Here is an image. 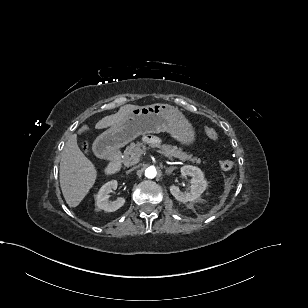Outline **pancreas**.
Wrapping results in <instances>:
<instances>
[{"label":"pancreas","instance_id":"1","mask_svg":"<svg viewBox=\"0 0 308 308\" xmlns=\"http://www.w3.org/2000/svg\"><path fill=\"white\" fill-rule=\"evenodd\" d=\"M151 147H158V152L163 154L168 158H179L180 160H189L192 163H200V159L193 157L192 154H188L183 152L181 149H178L176 146L162 144V145H151ZM146 146L141 143H131L129 146L126 147L122 162L123 164L128 167L138 163L140 156L143 154Z\"/></svg>","mask_w":308,"mask_h":308}]
</instances>
